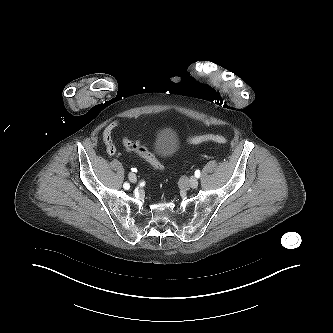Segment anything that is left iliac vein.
Instances as JSON below:
<instances>
[{
	"mask_svg": "<svg viewBox=\"0 0 333 333\" xmlns=\"http://www.w3.org/2000/svg\"><path fill=\"white\" fill-rule=\"evenodd\" d=\"M187 185L190 186L191 188H197V186H198V180L195 177H191L188 180Z\"/></svg>",
	"mask_w": 333,
	"mask_h": 333,
	"instance_id": "left-iliac-vein-1",
	"label": "left iliac vein"
}]
</instances>
